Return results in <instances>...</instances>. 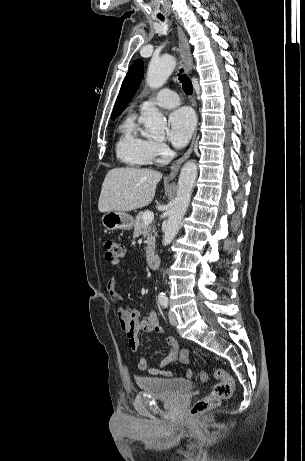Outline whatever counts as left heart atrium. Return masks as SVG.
Masks as SVG:
<instances>
[{"instance_id":"left-heart-atrium-1","label":"left heart atrium","mask_w":305,"mask_h":461,"mask_svg":"<svg viewBox=\"0 0 305 461\" xmlns=\"http://www.w3.org/2000/svg\"><path fill=\"white\" fill-rule=\"evenodd\" d=\"M168 138L175 147H183L192 136L195 127L194 115L188 108L173 111L168 118Z\"/></svg>"}]
</instances>
